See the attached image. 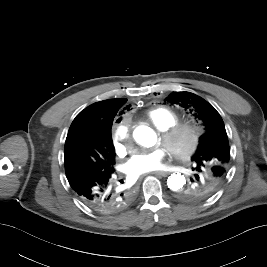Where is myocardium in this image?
I'll return each mask as SVG.
<instances>
[{
    "label": "myocardium",
    "mask_w": 267,
    "mask_h": 267,
    "mask_svg": "<svg viewBox=\"0 0 267 267\" xmlns=\"http://www.w3.org/2000/svg\"><path fill=\"white\" fill-rule=\"evenodd\" d=\"M183 134L187 135L188 143L184 147H179L177 139ZM200 136L198 127L189 122H177L161 131L160 140L171 154L179 159L186 160L196 151Z\"/></svg>",
    "instance_id": "myocardium-1"
}]
</instances>
